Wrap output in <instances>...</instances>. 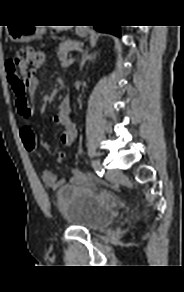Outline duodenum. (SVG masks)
<instances>
[{
    "instance_id": "duodenum-1",
    "label": "duodenum",
    "mask_w": 184,
    "mask_h": 292,
    "mask_svg": "<svg viewBox=\"0 0 184 292\" xmlns=\"http://www.w3.org/2000/svg\"><path fill=\"white\" fill-rule=\"evenodd\" d=\"M71 108V101L69 98H64L58 105V113L60 115H66Z\"/></svg>"
}]
</instances>
